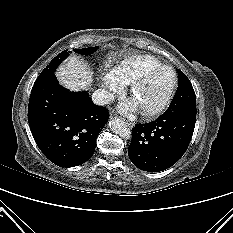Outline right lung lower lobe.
<instances>
[{
    "instance_id": "obj_1",
    "label": "right lung lower lobe",
    "mask_w": 233,
    "mask_h": 233,
    "mask_svg": "<svg viewBox=\"0 0 233 233\" xmlns=\"http://www.w3.org/2000/svg\"><path fill=\"white\" fill-rule=\"evenodd\" d=\"M109 119L86 91L70 92L54 75L33 86L28 122L42 153L60 167H74L94 153L96 139Z\"/></svg>"
}]
</instances>
